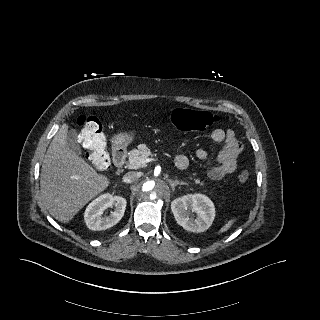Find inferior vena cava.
<instances>
[{
  "instance_id": "inferior-vena-cava-1",
  "label": "inferior vena cava",
  "mask_w": 320,
  "mask_h": 320,
  "mask_svg": "<svg viewBox=\"0 0 320 320\" xmlns=\"http://www.w3.org/2000/svg\"><path fill=\"white\" fill-rule=\"evenodd\" d=\"M139 178V173L135 171L128 172L124 175L123 181L125 183H132Z\"/></svg>"
}]
</instances>
